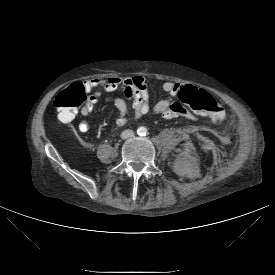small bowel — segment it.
<instances>
[{
	"label": "small bowel",
	"mask_w": 275,
	"mask_h": 275,
	"mask_svg": "<svg viewBox=\"0 0 275 275\" xmlns=\"http://www.w3.org/2000/svg\"><path fill=\"white\" fill-rule=\"evenodd\" d=\"M81 86L84 91L89 93L86 103L82 108V114H89L100 101L102 96L107 94L105 101L112 104L118 111V116L115 120L117 126H123L127 123L126 102L133 103L135 119H140L149 112L160 114L167 119L185 115L193 118V116L189 115L182 104L174 99L182 87V85L177 82H164L162 88L164 92L167 93L168 97L158 101L152 106L149 102L147 80L143 76L93 78L82 82ZM120 88L123 89L124 99L108 95ZM59 119L62 122H67L61 117H59ZM89 126L90 125L86 120H82L79 123V129L83 132L87 131Z\"/></svg>",
	"instance_id": "obj_1"
}]
</instances>
